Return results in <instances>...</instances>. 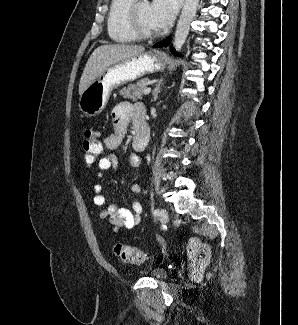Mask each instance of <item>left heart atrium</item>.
<instances>
[{"mask_svg": "<svg viewBox=\"0 0 298 325\" xmlns=\"http://www.w3.org/2000/svg\"><path fill=\"white\" fill-rule=\"evenodd\" d=\"M153 11L161 30L168 28L177 14V3L175 0H155Z\"/></svg>", "mask_w": 298, "mask_h": 325, "instance_id": "left-heart-atrium-1", "label": "left heart atrium"}]
</instances>
